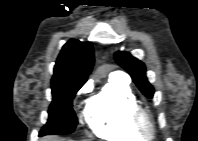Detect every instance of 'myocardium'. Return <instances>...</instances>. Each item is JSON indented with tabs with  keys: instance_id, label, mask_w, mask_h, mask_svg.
Instances as JSON below:
<instances>
[{
	"instance_id": "f54148a6",
	"label": "myocardium",
	"mask_w": 198,
	"mask_h": 141,
	"mask_svg": "<svg viewBox=\"0 0 198 141\" xmlns=\"http://www.w3.org/2000/svg\"><path fill=\"white\" fill-rule=\"evenodd\" d=\"M130 121L140 138L152 139L156 135L155 120L152 113L136 103L131 108Z\"/></svg>"
}]
</instances>
